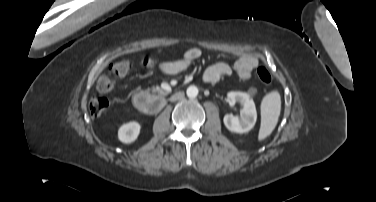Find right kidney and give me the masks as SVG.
Segmentation results:
<instances>
[{
    "mask_svg": "<svg viewBox=\"0 0 376 202\" xmlns=\"http://www.w3.org/2000/svg\"><path fill=\"white\" fill-rule=\"evenodd\" d=\"M140 129L141 126L137 122L123 124L118 130V138L123 143H132L137 139Z\"/></svg>",
    "mask_w": 376,
    "mask_h": 202,
    "instance_id": "ca27d5eb",
    "label": "right kidney"
}]
</instances>
